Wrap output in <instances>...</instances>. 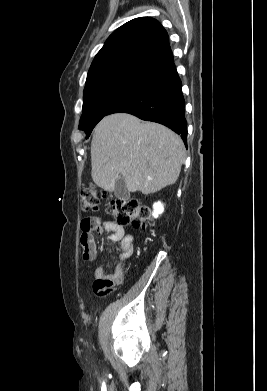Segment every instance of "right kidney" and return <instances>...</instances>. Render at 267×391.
Returning a JSON list of instances; mask_svg holds the SVG:
<instances>
[{
    "label": "right kidney",
    "instance_id": "right-kidney-1",
    "mask_svg": "<svg viewBox=\"0 0 267 391\" xmlns=\"http://www.w3.org/2000/svg\"><path fill=\"white\" fill-rule=\"evenodd\" d=\"M164 212V206L161 202L154 203L153 205V217L157 218Z\"/></svg>",
    "mask_w": 267,
    "mask_h": 391
}]
</instances>
